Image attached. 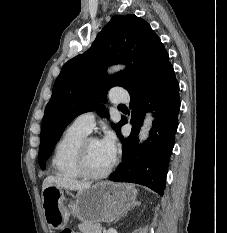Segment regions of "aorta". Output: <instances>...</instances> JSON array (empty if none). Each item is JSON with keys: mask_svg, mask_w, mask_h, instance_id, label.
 I'll return each instance as SVG.
<instances>
[{"mask_svg": "<svg viewBox=\"0 0 227 233\" xmlns=\"http://www.w3.org/2000/svg\"><path fill=\"white\" fill-rule=\"evenodd\" d=\"M123 69V66H113L110 68V72H116V71H119ZM152 121H153V116L151 113H148L145 117V120H144V124L142 126V129L139 133V140L140 142H143L145 141L148 136H149V133H150V129H151V126H152Z\"/></svg>", "mask_w": 227, "mask_h": 233, "instance_id": "762f6f07", "label": "aorta"}]
</instances>
